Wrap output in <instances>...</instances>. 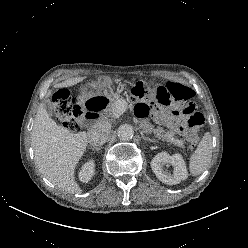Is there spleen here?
<instances>
[{"label":"spleen","mask_w":248,"mask_h":248,"mask_svg":"<svg viewBox=\"0 0 248 248\" xmlns=\"http://www.w3.org/2000/svg\"><path fill=\"white\" fill-rule=\"evenodd\" d=\"M212 137L209 132L205 133L197 149L190 157L189 169L193 176L200 175L207 169L212 158Z\"/></svg>","instance_id":"1"}]
</instances>
